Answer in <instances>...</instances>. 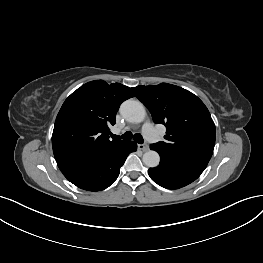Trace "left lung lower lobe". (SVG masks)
I'll use <instances>...</instances> for the list:
<instances>
[{
    "label": "left lung lower lobe",
    "instance_id": "left-lung-lower-lobe-1",
    "mask_svg": "<svg viewBox=\"0 0 263 263\" xmlns=\"http://www.w3.org/2000/svg\"><path fill=\"white\" fill-rule=\"evenodd\" d=\"M160 165L148 170L150 178L167 189H178L196 180L204 171L202 168L178 163L160 156Z\"/></svg>",
    "mask_w": 263,
    "mask_h": 263
}]
</instances>
